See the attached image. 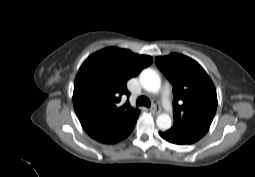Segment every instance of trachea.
I'll return each instance as SVG.
<instances>
[{
  "mask_svg": "<svg viewBox=\"0 0 255 177\" xmlns=\"http://www.w3.org/2000/svg\"><path fill=\"white\" fill-rule=\"evenodd\" d=\"M136 104H137V105H140V106H146V107H149V106L151 105L149 99L146 98L145 96H140V97L137 99Z\"/></svg>",
  "mask_w": 255,
  "mask_h": 177,
  "instance_id": "1",
  "label": "trachea"
}]
</instances>
